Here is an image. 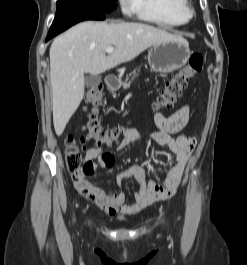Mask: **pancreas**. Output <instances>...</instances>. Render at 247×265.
<instances>
[{"label": "pancreas", "mask_w": 247, "mask_h": 265, "mask_svg": "<svg viewBox=\"0 0 247 265\" xmlns=\"http://www.w3.org/2000/svg\"><path fill=\"white\" fill-rule=\"evenodd\" d=\"M122 86L124 89H128L130 87V82H128V83L124 82V83H122Z\"/></svg>", "instance_id": "1"}]
</instances>
